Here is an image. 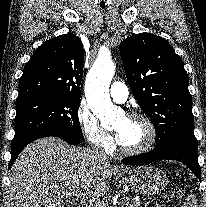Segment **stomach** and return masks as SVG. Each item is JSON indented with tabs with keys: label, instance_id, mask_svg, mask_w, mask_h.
<instances>
[{
	"label": "stomach",
	"instance_id": "obj_1",
	"mask_svg": "<svg viewBox=\"0 0 206 207\" xmlns=\"http://www.w3.org/2000/svg\"><path fill=\"white\" fill-rule=\"evenodd\" d=\"M123 180L133 190L145 195L157 194L167 185V177L164 172L154 166L135 168Z\"/></svg>",
	"mask_w": 206,
	"mask_h": 207
}]
</instances>
